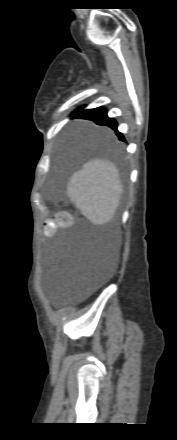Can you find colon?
Returning a JSON list of instances; mask_svg holds the SVG:
<instances>
[{
    "label": "colon",
    "mask_w": 177,
    "mask_h": 440,
    "mask_svg": "<svg viewBox=\"0 0 177 440\" xmlns=\"http://www.w3.org/2000/svg\"><path fill=\"white\" fill-rule=\"evenodd\" d=\"M73 222V216L67 211L59 212L54 219L47 220L44 223L43 230L47 236L55 233L58 227L70 226Z\"/></svg>",
    "instance_id": "5ec220e1"
}]
</instances>
